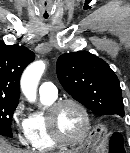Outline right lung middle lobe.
<instances>
[{
  "label": "right lung middle lobe",
  "instance_id": "obj_1",
  "mask_svg": "<svg viewBox=\"0 0 130 153\" xmlns=\"http://www.w3.org/2000/svg\"><path fill=\"white\" fill-rule=\"evenodd\" d=\"M18 105V101L0 99V135L13 137L11 119Z\"/></svg>",
  "mask_w": 130,
  "mask_h": 153
}]
</instances>
